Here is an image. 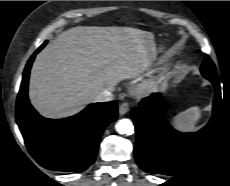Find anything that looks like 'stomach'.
<instances>
[{"label":"stomach","mask_w":230,"mask_h":186,"mask_svg":"<svg viewBox=\"0 0 230 186\" xmlns=\"http://www.w3.org/2000/svg\"><path fill=\"white\" fill-rule=\"evenodd\" d=\"M168 86V79L167 78H163L160 82V88L161 90H165Z\"/></svg>","instance_id":"stomach-1"}]
</instances>
